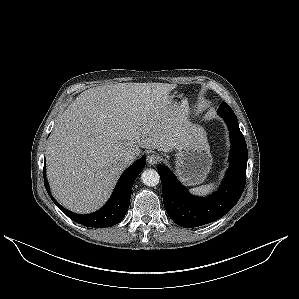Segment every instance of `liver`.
I'll return each mask as SVG.
<instances>
[{
  "mask_svg": "<svg viewBox=\"0 0 299 299\" xmlns=\"http://www.w3.org/2000/svg\"><path fill=\"white\" fill-rule=\"evenodd\" d=\"M175 84L118 83L90 88L56 123L46 149L55 198L76 213L97 210L127 168L128 150L170 152L187 140V100L171 98Z\"/></svg>",
  "mask_w": 299,
  "mask_h": 299,
  "instance_id": "1",
  "label": "liver"
}]
</instances>
